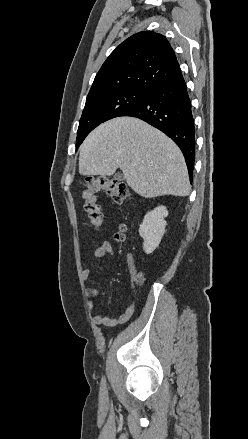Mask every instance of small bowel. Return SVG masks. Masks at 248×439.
I'll list each match as a JSON object with an SVG mask.
<instances>
[{"label":"small bowel","mask_w":248,"mask_h":439,"mask_svg":"<svg viewBox=\"0 0 248 439\" xmlns=\"http://www.w3.org/2000/svg\"><path fill=\"white\" fill-rule=\"evenodd\" d=\"M106 255H110L114 257L115 252L113 249V245L110 241H104L100 246H98L94 252L93 257L95 259H102ZM128 262V268L131 275L132 283H131V289H132V298L124 311V313L120 316L119 319H116L112 316H107L102 313H95L93 316L94 323L101 326H113L117 323H125L127 322L134 314L137 306V297H138V289L135 285V267L133 263V259L131 256H128L127 258ZM83 280H88L91 277V270L90 269H84L81 273ZM86 297L88 299V306L91 311L95 309L96 301L99 296V292L97 289L88 287L86 288Z\"/></svg>","instance_id":"small-bowel-1"}]
</instances>
